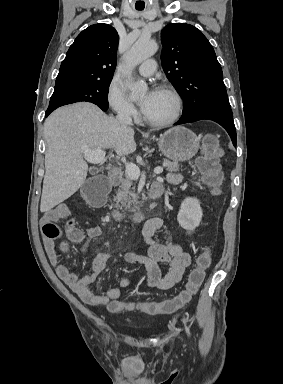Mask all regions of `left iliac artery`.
Wrapping results in <instances>:
<instances>
[{
  "instance_id": "obj_1",
  "label": "left iliac artery",
  "mask_w": 283,
  "mask_h": 384,
  "mask_svg": "<svg viewBox=\"0 0 283 384\" xmlns=\"http://www.w3.org/2000/svg\"><path fill=\"white\" fill-rule=\"evenodd\" d=\"M185 325V330H186V333L188 334V336H190V330H189V327L184 323Z\"/></svg>"
}]
</instances>
